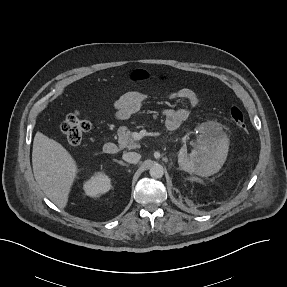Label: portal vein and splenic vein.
<instances>
[{"instance_id":"1","label":"portal vein and splenic vein","mask_w":287,"mask_h":287,"mask_svg":"<svg viewBox=\"0 0 287 287\" xmlns=\"http://www.w3.org/2000/svg\"><path fill=\"white\" fill-rule=\"evenodd\" d=\"M152 135H154L153 133H148V132H146V131H141V132H139V133H135L134 134V139H136V140H140L143 136H152Z\"/></svg>"}]
</instances>
